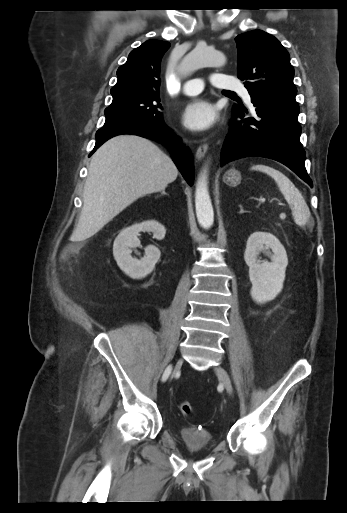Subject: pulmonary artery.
<instances>
[{
	"mask_svg": "<svg viewBox=\"0 0 347 513\" xmlns=\"http://www.w3.org/2000/svg\"><path fill=\"white\" fill-rule=\"evenodd\" d=\"M211 83L213 86L225 89V90H232L236 91L241 94L243 99L247 102H251V95L247 88L238 82L237 80L233 79L230 76H227L225 74L215 73L211 78ZM204 89V82L200 78L188 80L183 85V93L189 96L197 95Z\"/></svg>",
	"mask_w": 347,
	"mask_h": 513,
	"instance_id": "e3ab8cb5",
	"label": "pulmonary artery"
}]
</instances>
